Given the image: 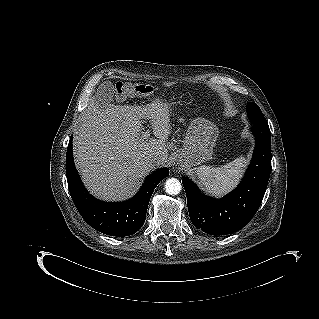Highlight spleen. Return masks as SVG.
Wrapping results in <instances>:
<instances>
[{
	"label": "spleen",
	"mask_w": 319,
	"mask_h": 319,
	"mask_svg": "<svg viewBox=\"0 0 319 319\" xmlns=\"http://www.w3.org/2000/svg\"><path fill=\"white\" fill-rule=\"evenodd\" d=\"M246 163L244 157H239L221 167L200 166L196 176L209 193L222 196L238 183Z\"/></svg>",
	"instance_id": "1"
}]
</instances>
